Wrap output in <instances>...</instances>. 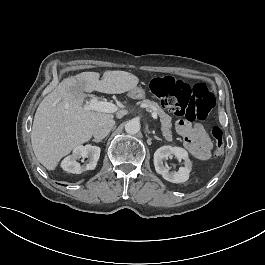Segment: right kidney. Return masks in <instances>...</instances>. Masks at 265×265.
Segmentation results:
<instances>
[{"label": "right kidney", "mask_w": 265, "mask_h": 265, "mask_svg": "<svg viewBox=\"0 0 265 265\" xmlns=\"http://www.w3.org/2000/svg\"><path fill=\"white\" fill-rule=\"evenodd\" d=\"M100 151V147L98 146H92L90 144L85 146L78 145L74 148L72 155L63 159L61 167L66 172L74 174H81L87 170H94L100 157ZM81 157L89 158V162L86 165L81 166L80 163L77 162V159Z\"/></svg>", "instance_id": "obj_1"}]
</instances>
